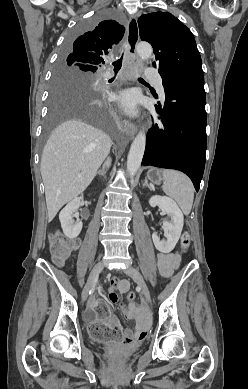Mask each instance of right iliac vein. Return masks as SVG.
Segmentation results:
<instances>
[{
    "mask_svg": "<svg viewBox=\"0 0 248 389\" xmlns=\"http://www.w3.org/2000/svg\"><path fill=\"white\" fill-rule=\"evenodd\" d=\"M104 268V263L103 262H99L97 263L94 268L92 269L90 275H89V279L83 289V292H82V301L85 302L87 297H88V293H89V290L91 289V287L93 286V284L95 283L98 275L101 273V271L103 270Z\"/></svg>",
    "mask_w": 248,
    "mask_h": 389,
    "instance_id": "obj_1",
    "label": "right iliac vein"
}]
</instances>
